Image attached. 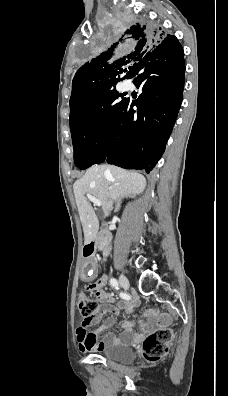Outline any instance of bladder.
Listing matches in <instances>:
<instances>
[{
	"label": "bladder",
	"mask_w": 228,
	"mask_h": 396,
	"mask_svg": "<svg viewBox=\"0 0 228 396\" xmlns=\"http://www.w3.org/2000/svg\"><path fill=\"white\" fill-rule=\"evenodd\" d=\"M97 353L107 360L122 364L131 363L135 359L133 348L126 344L110 345Z\"/></svg>",
	"instance_id": "bladder-1"
}]
</instances>
